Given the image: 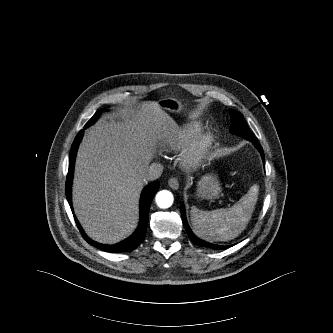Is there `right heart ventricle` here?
<instances>
[{"instance_id":"right-heart-ventricle-1","label":"right heart ventricle","mask_w":333,"mask_h":333,"mask_svg":"<svg viewBox=\"0 0 333 333\" xmlns=\"http://www.w3.org/2000/svg\"><path fill=\"white\" fill-rule=\"evenodd\" d=\"M203 127L201 121H190L171 129L162 140V147L167 151L187 149L198 137Z\"/></svg>"}]
</instances>
